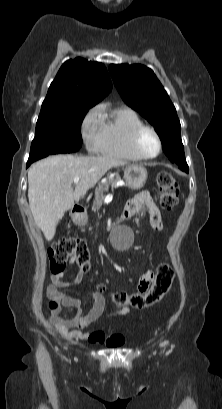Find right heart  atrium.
Here are the masks:
<instances>
[{
  "instance_id": "obj_1",
  "label": "right heart atrium",
  "mask_w": 222,
  "mask_h": 409,
  "mask_svg": "<svg viewBox=\"0 0 222 409\" xmlns=\"http://www.w3.org/2000/svg\"><path fill=\"white\" fill-rule=\"evenodd\" d=\"M102 133L101 112L98 106L91 108L81 123V134L87 149L91 152L98 150Z\"/></svg>"
}]
</instances>
